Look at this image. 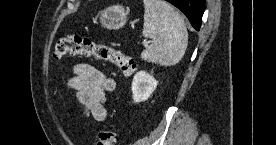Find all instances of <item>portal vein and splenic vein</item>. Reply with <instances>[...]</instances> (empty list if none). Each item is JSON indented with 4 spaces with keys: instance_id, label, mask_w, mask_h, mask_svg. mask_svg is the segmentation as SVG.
I'll return each instance as SVG.
<instances>
[{
    "instance_id": "portal-vein-and-splenic-vein-1",
    "label": "portal vein and splenic vein",
    "mask_w": 276,
    "mask_h": 145,
    "mask_svg": "<svg viewBox=\"0 0 276 145\" xmlns=\"http://www.w3.org/2000/svg\"><path fill=\"white\" fill-rule=\"evenodd\" d=\"M150 42L149 41H144L143 44L144 45H148Z\"/></svg>"
}]
</instances>
